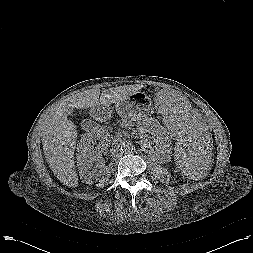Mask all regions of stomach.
I'll return each instance as SVG.
<instances>
[{
    "mask_svg": "<svg viewBox=\"0 0 253 253\" xmlns=\"http://www.w3.org/2000/svg\"><path fill=\"white\" fill-rule=\"evenodd\" d=\"M117 113L126 120L139 121L153 113L151 99L143 92H135L126 100L116 104ZM109 109V107H104Z\"/></svg>",
    "mask_w": 253,
    "mask_h": 253,
    "instance_id": "stomach-1",
    "label": "stomach"
}]
</instances>
